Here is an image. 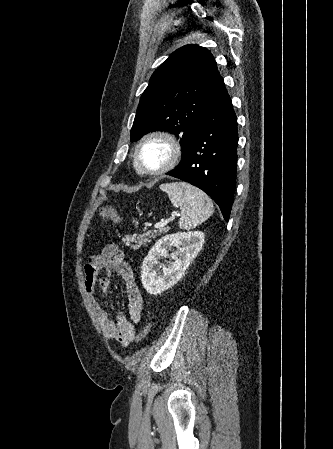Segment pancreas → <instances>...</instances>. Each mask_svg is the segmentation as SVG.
<instances>
[{"label":"pancreas","instance_id":"obj_1","mask_svg":"<svg viewBox=\"0 0 333 449\" xmlns=\"http://www.w3.org/2000/svg\"><path fill=\"white\" fill-rule=\"evenodd\" d=\"M167 231H168V228L162 227V228H159V230L148 231L146 233L133 235V236H127L125 239V244L127 246H130L132 249L137 250V249H140L142 246H145L147 243L151 242V239L155 238L156 235H160L161 233H166Z\"/></svg>","mask_w":333,"mask_h":449}]
</instances>
